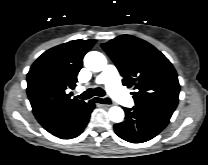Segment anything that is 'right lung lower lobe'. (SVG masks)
<instances>
[{
  "label": "right lung lower lobe",
  "instance_id": "right-lung-lower-lobe-1",
  "mask_svg": "<svg viewBox=\"0 0 208 165\" xmlns=\"http://www.w3.org/2000/svg\"><path fill=\"white\" fill-rule=\"evenodd\" d=\"M94 107V102L90 100L82 111L73 116L67 122L48 132L61 139H72L79 136L88 124L90 114Z\"/></svg>",
  "mask_w": 208,
  "mask_h": 165
}]
</instances>
